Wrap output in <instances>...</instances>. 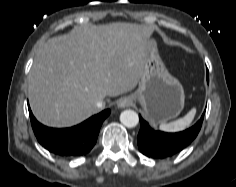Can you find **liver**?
<instances>
[{"label": "liver", "mask_w": 236, "mask_h": 187, "mask_svg": "<svg viewBox=\"0 0 236 187\" xmlns=\"http://www.w3.org/2000/svg\"><path fill=\"white\" fill-rule=\"evenodd\" d=\"M151 34L147 26L117 22L49 39L28 76L35 117L50 127L73 126L98 113V101L134 89Z\"/></svg>", "instance_id": "6515ba94"}]
</instances>
